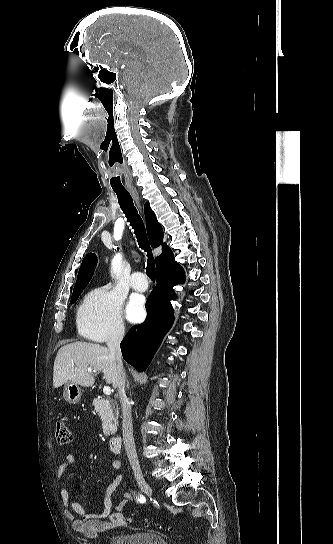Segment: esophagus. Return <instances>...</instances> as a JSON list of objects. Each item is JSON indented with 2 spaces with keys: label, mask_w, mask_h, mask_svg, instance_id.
Segmentation results:
<instances>
[{
  "label": "esophagus",
  "mask_w": 333,
  "mask_h": 544,
  "mask_svg": "<svg viewBox=\"0 0 333 544\" xmlns=\"http://www.w3.org/2000/svg\"><path fill=\"white\" fill-rule=\"evenodd\" d=\"M130 192L131 194L133 195V197L135 198V200L140 203V199H139V195H138V192L136 189L132 188L130 189Z\"/></svg>",
  "instance_id": "34e87169"
}]
</instances>
